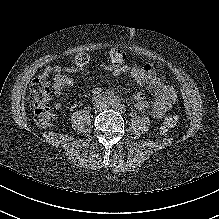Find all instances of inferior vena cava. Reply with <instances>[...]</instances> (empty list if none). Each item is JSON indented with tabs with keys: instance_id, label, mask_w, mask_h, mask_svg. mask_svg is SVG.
<instances>
[{
	"instance_id": "602c4592",
	"label": "inferior vena cava",
	"mask_w": 219,
	"mask_h": 219,
	"mask_svg": "<svg viewBox=\"0 0 219 219\" xmlns=\"http://www.w3.org/2000/svg\"><path fill=\"white\" fill-rule=\"evenodd\" d=\"M97 107H99L100 109H107L109 105L106 102H101Z\"/></svg>"
}]
</instances>
